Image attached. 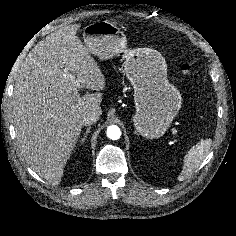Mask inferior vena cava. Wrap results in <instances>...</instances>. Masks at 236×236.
<instances>
[{"label": "inferior vena cava", "instance_id": "inferior-vena-cava-1", "mask_svg": "<svg viewBox=\"0 0 236 236\" xmlns=\"http://www.w3.org/2000/svg\"><path fill=\"white\" fill-rule=\"evenodd\" d=\"M99 116L100 115L95 111L85 112L81 117L82 124L85 126H90L94 124L95 122H97V120L99 119Z\"/></svg>", "mask_w": 236, "mask_h": 236}]
</instances>
